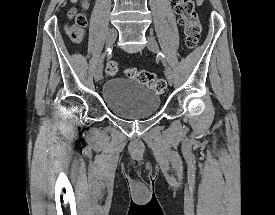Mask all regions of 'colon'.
I'll return each mask as SVG.
<instances>
[{
	"mask_svg": "<svg viewBox=\"0 0 275 215\" xmlns=\"http://www.w3.org/2000/svg\"><path fill=\"white\" fill-rule=\"evenodd\" d=\"M175 11L179 16V23L185 28L186 46L190 49L194 48L200 39L201 25L195 10V0H172ZM71 25L67 29V34L71 41L79 43L84 36V28L87 25L86 16L74 8L69 12ZM118 70L117 63L110 61L106 65V73L114 75ZM127 75L129 78L145 85L150 90L161 94L166 90V83L153 72L148 70H139L137 68H128Z\"/></svg>",
	"mask_w": 275,
	"mask_h": 215,
	"instance_id": "5ec220e1",
	"label": "colon"
}]
</instances>
